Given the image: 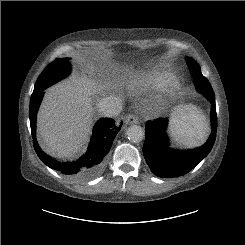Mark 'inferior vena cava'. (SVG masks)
I'll use <instances>...</instances> for the list:
<instances>
[{
	"label": "inferior vena cava",
	"instance_id": "1",
	"mask_svg": "<svg viewBox=\"0 0 245 245\" xmlns=\"http://www.w3.org/2000/svg\"><path fill=\"white\" fill-rule=\"evenodd\" d=\"M97 107L105 117H116L122 110V100L115 96L105 97L98 101Z\"/></svg>",
	"mask_w": 245,
	"mask_h": 245
}]
</instances>
